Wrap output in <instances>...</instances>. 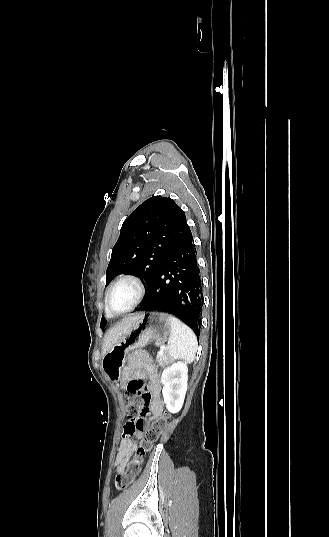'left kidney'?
Instances as JSON below:
<instances>
[{"label": "left kidney", "instance_id": "5707ae66", "mask_svg": "<svg viewBox=\"0 0 329 537\" xmlns=\"http://www.w3.org/2000/svg\"><path fill=\"white\" fill-rule=\"evenodd\" d=\"M188 367L185 362L177 361L164 369L161 376L162 395L166 408L177 413L182 408L187 391Z\"/></svg>", "mask_w": 329, "mask_h": 537}]
</instances>
